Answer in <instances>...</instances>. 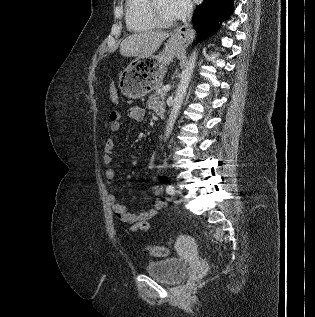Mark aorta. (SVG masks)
<instances>
[{"instance_id": "1", "label": "aorta", "mask_w": 315, "mask_h": 317, "mask_svg": "<svg viewBox=\"0 0 315 317\" xmlns=\"http://www.w3.org/2000/svg\"><path fill=\"white\" fill-rule=\"evenodd\" d=\"M197 56H198V51L197 49H194V51L192 52L189 58V61L187 62L185 66V69L183 70L181 74V79L176 90L171 113L169 115V119L166 126L165 140L169 138V135L172 132L174 123L178 117L184 97L186 96L187 88L189 86L193 70L195 68Z\"/></svg>"}]
</instances>
